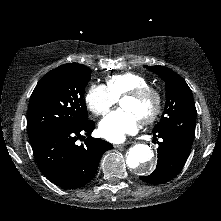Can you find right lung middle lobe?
<instances>
[{"instance_id":"obj_1","label":"right lung middle lobe","mask_w":221,"mask_h":221,"mask_svg":"<svg viewBox=\"0 0 221 221\" xmlns=\"http://www.w3.org/2000/svg\"><path fill=\"white\" fill-rule=\"evenodd\" d=\"M91 69L78 63L61 65L36 85L29 101V140L57 130H66L88 119L83 100Z\"/></svg>"}]
</instances>
